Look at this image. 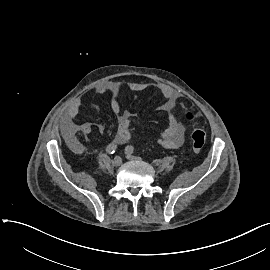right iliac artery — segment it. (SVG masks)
<instances>
[{
	"instance_id": "obj_1",
	"label": "right iliac artery",
	"mask_w": 270,
	"mask_h": 270,
	"mask_svg": "<svg viewBox=\"0 0 270 270\" xmlns=\"http://www.w3.org/2000/svg\"><path fill=\"white\" fill-rule=\"evenodd\" d=\"M116 149H117V145L114 143H111L107 146L106 152L109 154H113L116 151Z\"/></svg>"
}]
</instances>
